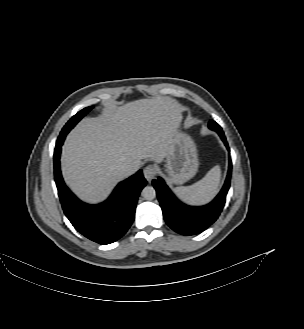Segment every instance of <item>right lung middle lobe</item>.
Instances as JSON below:
<instances>
[{
    "mask_svg": "<svg viewBox=\"0 0 304 329\" xmlns=\"http://www.w3.org/2000/svg\"><path fill=\"white\" fill-rule=\"evenodd\" d=\"M92 109L91 107H86L74 115L63 127L59 137L66 136L68 132Z\"/></svg>",
    "mask_w": 304,
    "mask_h": 329,
    "instance_id": "dd1d6c3e",
    "label": "right lung middle lobe"
}]
</instances>
